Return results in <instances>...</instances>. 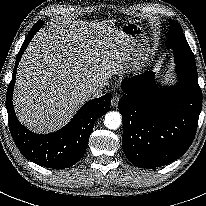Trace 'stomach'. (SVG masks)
<instances>
[{"label":"stomach","instance_id":"0dacf381","mask_svg":"<svg viewBox=\"0 0 206 206\" xmlns=\"http://www.w3.org/2000/svg\"><path fill=\"white\" fill-rule=\"evenodd\" d=\"M119 31L134 41L137 58L147 60L151 50L143 28L135 22H129L123 24Z\"/></svg>","mask_w":206,"mask_h":206}]
</instances>
